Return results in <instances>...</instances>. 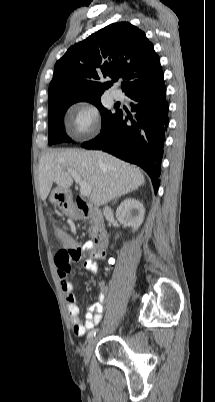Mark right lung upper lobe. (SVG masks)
I'll return each instance as SVG.
<instances>
[{
    "mask_svg": "<svg viewBox=\"0 0 215 402\" xmlns=\"http://www.w3.org/2000/svg\"><path fill=\"white\" fill-rule=\"evenodd\" d=\"M106 77L112 81L104 83ZM120 77L126 95L163 80L153 44L128 22L110 24L67 50L54 66L48 103L102 95Z\"/></svg>",
    "mask_w": 215,
    "mask_h": 402,
    "instance_id": "1",
    "label": "right lung upper lobe"
}]
</instances>
